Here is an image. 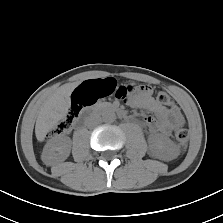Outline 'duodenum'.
I'll return each mask as SVG.
<instances>
[{"mask_svg": "<svg viewBox=\"0 0 223 223\" xmlns=\"http://www.w3.org/2000/svg\"><path fill=\"white\" fill-rule=\"evenodd\" d=\"M92 111H94V112H98V111H114V112H116L121 117H124L125 116V111L123 109H121L120 106H118L116 104H104V105H100V106L96 107ZM88 119H89V117L80 120L77 123V126H82L83 123L86 122Z\"/></svg>", "mask_w": 223, "mask_h": 223, "instance_id": "duodenum-1", "label": "duodenum"}]
</instances>
